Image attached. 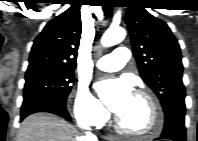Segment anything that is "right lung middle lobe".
Here are the masks:
<instances>
[{
	"mask_svg": "<svg viewBox=\"0 0 198 141\" xmlns=\"http://www.w3.org/2000/svg\"><path fill=\"white\" fill-rule=\"evenodd\" d=\"M24 98L44 97L65 104L75 80L70 70L42 69L26 72Z\"/></svg>",
	"mask_w": 198,
	"mask_h": 141,
	"instance_id": "dd1d6c3e",
	"label": "right lung middle lobe"
}]
</instances>
